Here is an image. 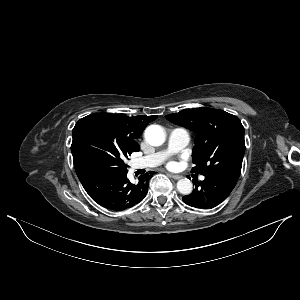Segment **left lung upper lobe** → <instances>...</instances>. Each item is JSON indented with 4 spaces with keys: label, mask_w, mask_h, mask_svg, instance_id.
<instances>
[{
    "label": "left lung upper lobe",
    "mask_w": 300,
    "mask_h": 300,
    "mask_svg": "<svg viewBox=\"0 0 300 300\" xmlns=\"http://www.w3.org/2000/svg\"><path fill=\"white\" fill-rule=\"evenodd\" d=\"M196 132L192 172L238 181L245 152L244 127L238 117L212 108L184 109L165 116Z\"/></svg>",
    "instance_id": "1"
}]
</instances>
